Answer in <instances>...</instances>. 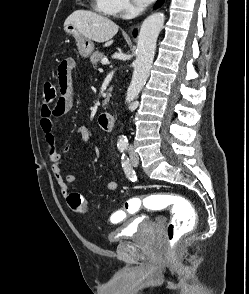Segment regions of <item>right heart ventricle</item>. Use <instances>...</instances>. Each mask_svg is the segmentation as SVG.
<instances>
[{
  "label": "right heart ventricle",
  "mask_w": 249,
  "mask_h": 294,
  "mask_svg": "<svg viewBox=\"0 0 249 294\" xmlns=\"http://www.w3.org/2000/svg\"><path fill=\"white\" fill-rule=\"evenodd\" d=\"M95 9L107 16L116 15L114 0H93Z\"/></svg>",
  "instance_id": "e07e8e85"
}]
</instances>
